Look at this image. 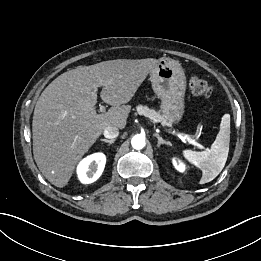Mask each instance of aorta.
<instances>
[{"label":"aorta","mask_w":261,"mask_h":261,"mask_svg":"<svg viewBox=\"0 0 261 261\" xmlns=\"http://www.w3.org/2000/svg\"><path fill=\"white\" fill-rule=\"evenodd\" d=\"M131 144L134 149L140 150L146 145L145 137L140 134L135 135L131 140Z\"/></svg>","instance_id":"762f6f07"}]
</instances>
